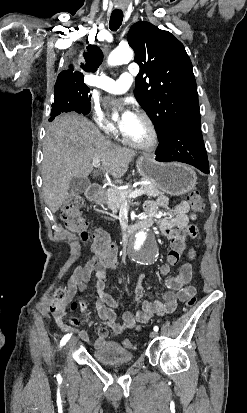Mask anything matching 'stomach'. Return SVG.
<instances>
[{
    "instance_id": "1",
    "label": "stomach",
    "mask_w": 247,
    "mask_h": 413,
    "mask_svg": "<svg viewBox=\"0 0 247 413\" xmlns=\"http://www.w3.org/2000/svg\"><path fill=\"white\" fill-rule=\"evenodd\" d=\"M138 172L151 184L167 194H186L194 190L197 176L194 168L183 162H158L150 154H142L136 160ZM107 202L105 194H97L96 204Z\"/></svg>"
}]
</instances>
